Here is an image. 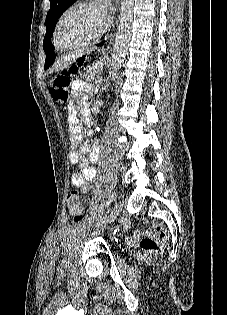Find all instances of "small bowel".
<instances>
[{
    "mask_svg": "<svg viewBox=\"0 0 227 315\" xmlns=\"http://www.w3.org/2000/svg\"><path fill=\"white\" fill-rule=\"evenodd\" d=\"M92 87L89 83L76 80L72 85L73 98L76 100L80 97L84 102L88 100L89 93ZM70 123V161L72 164L78 165L81 171L74 172L71 176V184L81 189V192L85 195L91 193V187L89 182L93 181L96 177V170L93 163L97 159V153L91 151L88 144H83L78 148V144L81 138V128L76 117V108L72 107V114L69 118ZM86 155V156H83Z\"/></svg>",
    "mask_w": 227,
    "mask_h": 315,
    "instance_id": "c3829d8e",
    "label": "small bowel"
}]
</instances>
